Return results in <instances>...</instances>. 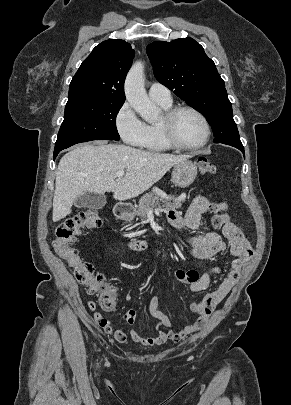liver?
<instances>
[{
    "label": "liver",
    "instance_id": "6515ba94",
    "mask_svg": "<svg viewBox=\"0 0 291 405\" xmlns=\"http://www.w3.org/2000/svg\"><path fill=\"white\" fill-rule=\"evenodd\" d=\"M122 144H85L66 153L56 171L53 221L71 213L74 201L85 192H113L116 200L136 197L158 182L172 166L187 160ZM116 179V173L125 171Z\"/></svg>",
    "mask_w": 291,
    "mask_h": 405
}]
</instances>
